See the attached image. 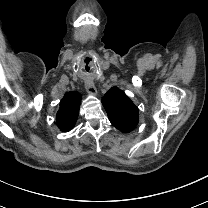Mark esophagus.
Here are the masks:
<instances>
[{"label":"esophagus","instance_id":"esophagus-1","mask_svg":"<svg viewBox=\"0 0 208 208\" xmlns=\"http://www.w3.org/2000/svg\"><path fill=\"white\" fill-rule=\"evenodd\" d=\"M85 88H86V91L89 95H91V96H96L97 95L96 87L94 86L92 81H87L85 83Z\"/></svg>","mask_w":208,"mask_h":208}]
</instances>
